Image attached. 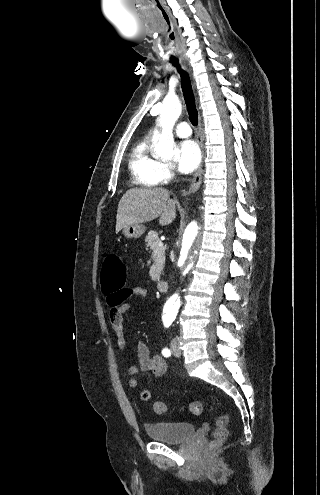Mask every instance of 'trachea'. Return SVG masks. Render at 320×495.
Returning <instances> with one entry per match:
<instances>
[{
    "label": "trachea",
    "instance_id": "3493384b",
    "mask_svg": "<svg viewBox=\"0 0 320 495\" xmlns=\"http://www.w3.org/2000/svg\"><path fill=\"white\" fill-rule=\"evenodd\" d=\"M172 64L177 68L181 76V87L184 95V99L187 105V111L189 119L192 125L196 126L198 123V112L196 109L194 94L192 90L191 81L186 71L182 70L177 60H172Z\"/></svg>",
    "mask_w": 320,
    "mask_h": 495
}]
</instances>
